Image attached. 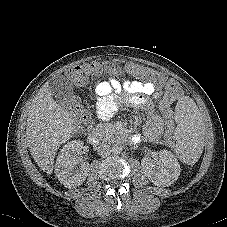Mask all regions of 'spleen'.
Here are the masks:
<instances>
[{
	"label": "spleen",
	"instance_id": "3e777b00",
	"mask_svg": "<svg viewBox=\"0 0 227 227\" xmlns=\"http://www.w3.org/2000/svg\"><path fill=\"white\" fill-rule=\"evenodd\" d=\"M175 112L180 123L178 132L180 134L177 145V153L185 162L192 164L198 157L200 143L202 140V116L195 104L189 98H182L175 105Z\"/></svg>",
	"mask_w": 227,
	"mask_h": 227
}]
</instances>
